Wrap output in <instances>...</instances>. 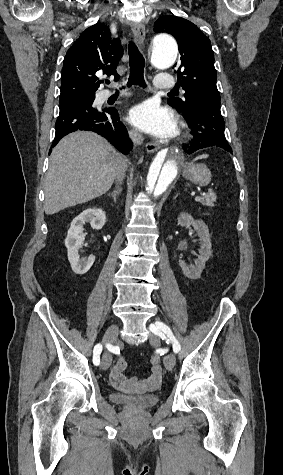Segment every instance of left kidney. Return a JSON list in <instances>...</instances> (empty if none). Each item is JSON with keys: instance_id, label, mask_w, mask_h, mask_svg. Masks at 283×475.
<instances>
[{"instance_id": "left-kidney-1", "label": "left kidney", "mask_w": 283, "mask_h": 475, "mask_svg": "<svg viewBox=\"0 0 283 475\" xmlns=\"http://www.w3.org/2000/svg\"><path fill=\"white\" fill-rule=\"evenodd\" d=\"M177 220L180 226H193L194 230L197 232V236L200 238V255H198L197 259H194L195 265H192V263H186L184 259H179V265L182 267L184 275L190 277V279H198V277H201L207 259L212 255V245L208 226H206L202 220H194L190 214H185V212H182Z\"/></svg>"}]
</instances>
